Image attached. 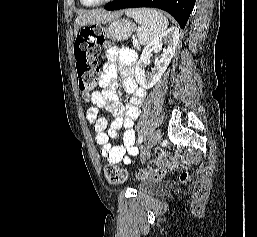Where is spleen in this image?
<instances>
[{
    "label": "spleen",
    "mask_w": 257,
    "mask_h": 237,
    "mask_svg": "<svg viewBox=\"0 0 257 237\" xmlns=\"http://www.w3.org/2000/svg\"><path fill=\"white\" fill-rule=\"evenodd\" d=\"M125 14L140 24L137 29V37L141 45L150 44L168 27L167 18L154 9H128Z\"/></svg>",
    "instance_id": "1"
}]
</instances>
